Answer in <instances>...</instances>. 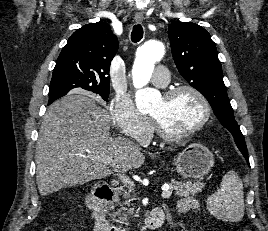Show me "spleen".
<instances>
[{
  "mask_svg": "<svg viewBox=\"0 0 268 231\" xmlns=\"http://www.w3.org/2000/svg\"><path fill=\"white\" fill-rule=\"evenodd\" d=\"M207 208L219 219L238 222L244 216L243 184L237 173L229 171L222 179L220 189L208 197Z\"/></svg>",
  "mask_w": 268,
  "mask_h": 231,
  "instance_id": "obj_1",
  "label": "spleen"
}]
</instances>
